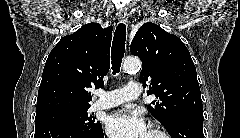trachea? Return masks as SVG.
Returning <instances> with one entry per match:
<instances>
[{"label":"trachea","mask_w":240,"mask_h":138,"mask_svg":"<svg viewBox=\"0 0 240 138\" xmlns=\"http://www.w3.org/2000/svg\"><path fill=\"white\" fill-rule=\"evenodd\" d=\"M125 41H126V26L120 23L114 33L111 50L112 70L113 74L120 71L122 58L125 53Z\"/></svg>","instance_id":"3493384b"}]
</instances>
